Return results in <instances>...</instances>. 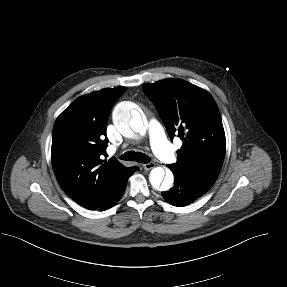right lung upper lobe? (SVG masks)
Listing matches in <instances>:
<instances>
[{
  "label": "right lung upper lobe",
  "instance_id": "cb5924a9",
  "mask_svg": "<svg viewBox=\"0 0 287 287\" xmlns=\"http://www.w3.org/2000/svg\"><path fill=\"white\" fill-rule=\"evenodd\" d=\"M125 87L105 88L80 96L57 118L52 133L51 161L63 191L79 205L98 209L112 201L138 167L108 162L106 124Z\"/></svg>",
  "mask_w": 287,
  "mask_h": 287
}]
</instances>
